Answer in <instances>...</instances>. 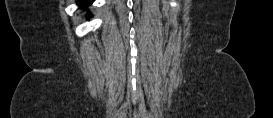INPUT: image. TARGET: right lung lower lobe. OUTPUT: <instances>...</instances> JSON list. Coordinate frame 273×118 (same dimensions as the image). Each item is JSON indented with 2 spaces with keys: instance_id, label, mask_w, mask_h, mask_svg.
Returning a JSON list of instances; mask_svg holds the SVG:
<instances>
[{
  "instance_id": "obj_1",
  "label": "right lung lower lobe",
  "mask_w": 273,
  "mask_h": 118,
  "mask_svg": "<svg viewBox=\"0 0 273 118\" xmlns=\"http://www.w3.org/2000/svg\"><path fill=\"white\" fill-rule=\"evenodd\" d=\"M92 2H93V0H78V1H77V4H78L80 7L86 9L89 5L92 4ZM89 16H90V15H89Z\"/></svg>"
}]
</instances>
